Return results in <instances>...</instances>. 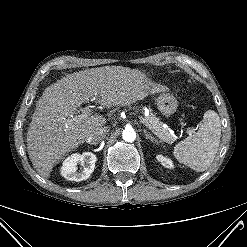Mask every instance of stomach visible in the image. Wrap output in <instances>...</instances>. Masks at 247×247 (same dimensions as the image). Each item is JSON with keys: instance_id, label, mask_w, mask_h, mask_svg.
<instances>
[{"instance_id": "0dacf381", "label": "stomach", "mask_w": 247, "mask_h": 247, "mask_svg": "<svg viewBox=\"0 0 247 247\" xmlns=\"http://www.w3.org/2000/svg\"><path fill=\"white\" fill-rule=\"evenodd\" d=\"M177 106L176 98L170 93H162L157 98V107L165 116H170L175 113Z\"/></svg>"}]
</instances>
